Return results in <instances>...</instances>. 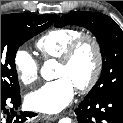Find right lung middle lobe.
Returning <instances> with one entry per match:
<instances>
[{
  "mask_svg": "<svg viewBox=\"0 0 123 123\" xmlns=\"http://www.w3.org/2000/svg\"><path fill=\"white\" fill-rule=\"evenodd\" d=\"M53 23L48 15H1V95L20 93L15 67L18 48Z\"/></svg>",
  "mask_w": 123,
  "mask_h": 123,
  "instance_id": "right-lung-middle-lobe-1",
  "label": "right lung middle lobe"
}]
</instances>
